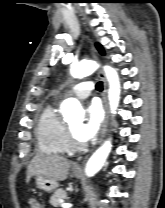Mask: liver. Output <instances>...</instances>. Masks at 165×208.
I'll return each instance as SVG.
<instances>
[{
  "label": "liver",
  "mask_w": 165,
  "mask_h": 208,
  "mask_svg": "<svg viewBox=\"0 0 165 208\" xmlns=\"http://www.w3.org/2000/svg\"><path fill=\"white\" fill-rule=\"evenodd\" d=\"M72 162L59 155L38 154L27 167V181L33 175H43L56 182L64 181Z\"/></svg>",
  "instance_id": "1"
}]
</instances>
